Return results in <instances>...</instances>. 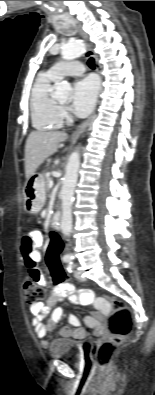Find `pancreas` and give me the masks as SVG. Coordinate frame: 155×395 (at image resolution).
<instances>
[{"instance_id": "1", "label": "pancreas", "mask_w": 155, "mask_h": 395, "mask_svg": "<svg viewBox=\"0 0 155 395\" xmlns=\"http://www.w3.org/2000/svg\"><path fill=\"white\" fill-rule=\"evenodd\" d=\"M43 180H44L45 190L49 191L50 188H49L48 184H49V181L52 180V179L50 177H44Z\"/></svg>"}]
</instances>
